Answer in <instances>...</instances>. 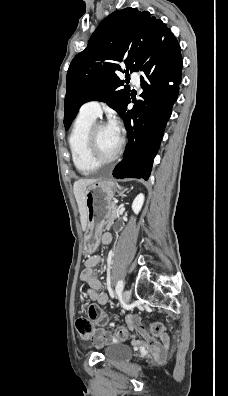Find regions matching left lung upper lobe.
Segmentation results:
<instances>
[{
  "label": "left lung upper lobe",
  "instance_id": "1",
  "mask_svg": "<svg viewBox=\"0 0 228 396\" xmlns=\"http://www.w3.org/2000/svg\"><path fill=\"white\" fill-rule=\"evenodd\" d=\"M169 29L147 11L118 10L106 17L92 34L87 47L70 63L66 78L64 126L68 130L79 108L92 100L103 101L120 116L130 90L116 75L140 70L151 42Z\"/></svg>",
  "mask_w": 228,
  "mask_h": 396
}]
</instances>
